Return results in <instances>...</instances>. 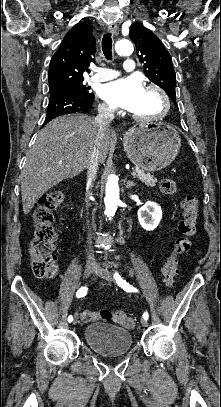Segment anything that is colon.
<instances>
[{
    "label": "colon",
    "mask_w": 221,
    "mask_h": 407,
    "mask_svg": "<svg viewBox=\"0 0 221 407\" xmlns=\"http://www.w3.org/2000/svg\"><path fill=\"white\" fill-rule=\"evenodd\" d=\"M163 193L173 195L177 192V185L173 179L166 178L160 182ZM64 201L62 191L55 190L44 194L38 200L33 213V235L29 242V255L32 261L34 275L40 278H51L56 274V265L52 257L55 249L57 233L53 227L52 211ZM182 217L178 222L179 235L175 239L174 249L162 267L165 285L173 289L179 271L180 257L191 250L192 237L195 234V221L198 216V200L195 196L186 195L181 201ZM84 322L97 320H113L124 328H134L136 320L123 310L111 312L108 310L81 313Z\"/></svg>",
    "instance_id": "1"
}]
</instances>
